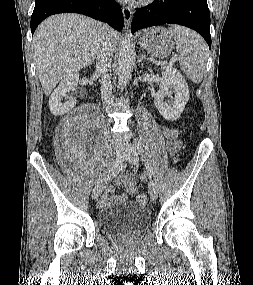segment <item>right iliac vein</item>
<instances>
[{
	"mask_svg": "<svg viewBox=\"0 0 253 285\" xmlns=\"http://www.w3.org/2000/svg\"><path fill=\"white\" fill-rule=\"evenodd\" d=\"M124 159V152L123 150H119L117 152L116 158L112 163L111 168L109 169L108 175L106 177H104L93 189L92 192V198L93 199H97L101 193L103 192L104 188L106 187V185L109 183V181L111 180L113 174L118 170V168L120 167L122 161Z\"/></svg>",
	"mask_w": 253,
	"mask_h": 285,
	"instance_id": "63e3f726",
	"label": "right iliac vein"
}]
</instances>
